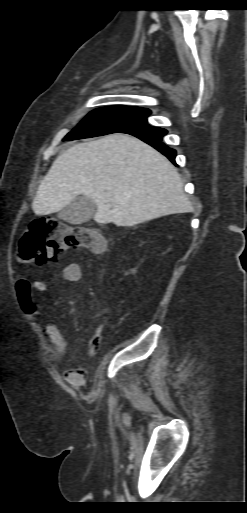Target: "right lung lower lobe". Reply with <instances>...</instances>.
Here are the masks:
<instances>
[{"label":"right lung lower lobe","mask_w":247,"mask_h":513,"mask_svg":"<svg viewBox=\"0 0 247 513\" xmlns=\"http://www.w3.org/2000/svg\"><path fill=\"white\" fill-rule=\"evenodd\" d=\"M120 133H127L143 140L155 149L164 154L175 164L176 151L167 147L162 143V137L167 133L163 128L152 127L147 122L129 126L120 131Z\"/></svg>","instance_id":"98d812e1"}]
</instances>
